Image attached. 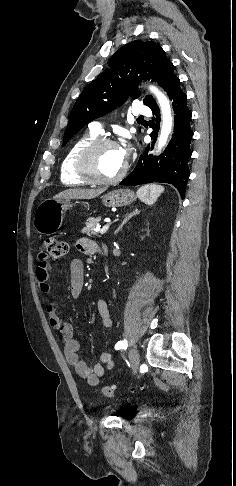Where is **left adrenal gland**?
Returning a JSON list of instances; mask_svg holds the SVG:
<instances>
[{"label":"left adrenal gland","mask_w":236,"mask_h":486,"mask_svg":"<svg viewBox=\"0 0 236 486\" xmlns=\"http://www.w3.org/2000/svg\"><path fill=\"white\" fill-rule=\"evenodd\" d=\"M139 212L140 211L138 209H134L130 213H127L125 215V219L123 220L121 225L118 227V229L114 232V234H117L122 229V227L127 223V221H129L133 216L137 215Z\"/></svg>","instance_id":"a2214340"}]
</instances>
